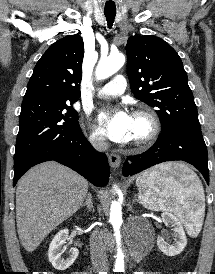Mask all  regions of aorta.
Wrapping results in <instances>:
<instances>
[{
	"mask_svg": "<svg viewBox=\"0 0 215 274\" xmlns=\"http://www.w3.org/2000/svg\"><path fill=\"white\" fill-rule=\"evenodd\" d=\"M125 63V57L122 53L111 54L106 58H101L97 68L96 76L98 79H106L116 73ZM118 193L119 190H116ZM110 221L116 229L115 241L117 245V257L115 261V271L123 272L124 270V254L122 251L121 236L118 232L120 225L122 224V209L121 205L114 201L111 204Z\"/></svg>",
	"mask_w": 215,
	"mask_h": 274,
	"instance_id": "aorta-1",
	"label": "aorta"
}]
</instances>
